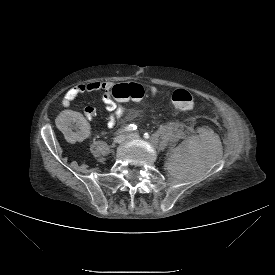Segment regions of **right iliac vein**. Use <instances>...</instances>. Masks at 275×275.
Masks as SVG:
<instances>
[{
  "mask_svg": "<svg viewBox=\"0 0 275 275\" xmlns=\"http://www.w3.org/2000/svg\"><path fill=\"white\" fill-rule=\"evenodd\" d=\"M126 139L125 135H119L114 138V143L115 144H120Z\"/></svg>",
  "mask_w": 275,
  "mask_h": 275,
  "instance_id": "1",
  "label": "right iliac vein"
}]
</instances>
